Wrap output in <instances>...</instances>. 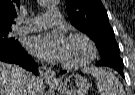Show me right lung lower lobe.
<instances>
[{
    "mask_svg": "<svg viewBox=\"0 0 135 95\" xmlns=\"http://www.w3.org/2000/svg\"><path fill=\"white\" fill-rule=\"evenodd\" d=\"M0 61L18 64L28 71L38 74L35 61L27 54L18 41L9 46H0Z\"/></svg>",
    "mask_w": 135,
    "mask_h": 95,
    "instance_id": "right-lung-lower-lobe-1",
    "label": "right lung lower lobe"
}]
</instances>
